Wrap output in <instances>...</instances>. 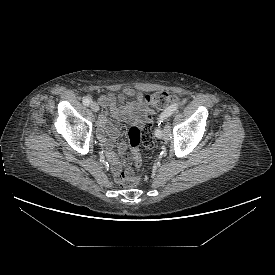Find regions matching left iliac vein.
I'll use <instances>...</instances> for the list:
<instances>
[{"mask_svg":"<svg viewBox=\"0 0 275 275\" xmlns=\"http://www.w3.org/2000/svg\"><path fill=\"white\" fill-rule=\"evenodd\" d=\"M170 136H171V128L169 124H166L164 127L162 138L164 140H169Z\"/></svg>","mask_w":275,"mask_h":275,"instance_id":"1","label":"left iliac vein"}]
</instances>
